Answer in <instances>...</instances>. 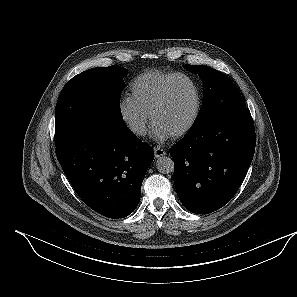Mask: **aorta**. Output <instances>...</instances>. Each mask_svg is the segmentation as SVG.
I'll return each mask as SVG.
<instances>
[{"instance_id":"aorta-1","label":"aorta","mask_w":297,"mask_h":297,"mask_svg":"<svg viewBox=\"0 0 297 297\" xmlns=\"http://www.w3.org/2000/svg\"><path fill=\"white\" fill-rule=\"evenodd\" d=\"M157 170L160 173L168 174L174 170V162L170 157L161 156L156 161Z\"/></svg>"}]
</instances>
